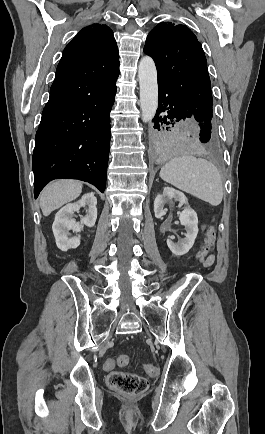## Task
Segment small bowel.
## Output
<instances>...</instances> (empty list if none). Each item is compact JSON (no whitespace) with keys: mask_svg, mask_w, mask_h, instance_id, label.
<instances>
[{"mask_svg":"<svg viewBox=\"0 0 265 434\" xmlns=\"http://www.w3.org/2000/svg\"><path fill=\"white\" fill-rule=\"evenodd\" d=\"M202 229H205V225L202 226ZM213 263H214V256L213 255H209L204 262L205 266H207V267L211 266ZM116 365L123 366V365L118 364L116 360H114L112 358H108L105 360L103 367L105 370L110 371V370H113L116 367Z\"/></svg>","mask_w":265,"mask_h":434,"instance_id":"1","label":"small bowel"}]
</instances>
